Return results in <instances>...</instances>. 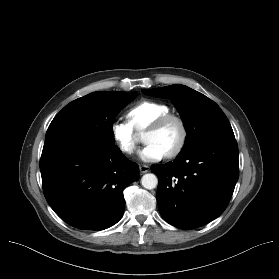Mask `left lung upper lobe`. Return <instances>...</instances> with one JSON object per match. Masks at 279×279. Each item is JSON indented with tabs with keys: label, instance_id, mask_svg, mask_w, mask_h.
<instances>
[{
	"label": "left lung upper lobe",
	"instance_id": "obj_1",
	"mask_svg": "<svg viewBox=\"0 0 279 279\" xmlns=\"http://www.w3.org/2000/svg\"><path fill=\"white\" fill-rule=\"evenodd\" d=\"M142 92L153 97L170 98L174 102L187 132L180 153L204 141L235 138L231 125L220 107L200 92L178 84Z\"/></svg>",
	"mask_w": 279,
	"mask_h": 279
}]
</instances>
